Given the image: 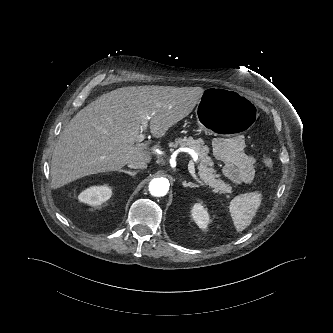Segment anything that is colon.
Returning a JSON list of instances; mask_svg holds the SVG:
<instances>
[{
  "label": "colon",
  "instance_id": "1",
  "mask_svg": "<svg viewBox=\"0 0 333 333\" xmlns=\"http://www.w3.org/2000/svg\"><path fill=\"white\" fill-rule=\"evenodd\" d=\"M263 161H264V164H265L269 169H272V168H273V162H272V159H271L268 155H264V157H263Z\"/></svg>",
  "mask_w": 333,
  "mask_h": 333
}]
</instances>
